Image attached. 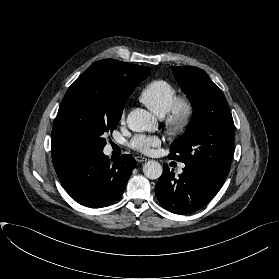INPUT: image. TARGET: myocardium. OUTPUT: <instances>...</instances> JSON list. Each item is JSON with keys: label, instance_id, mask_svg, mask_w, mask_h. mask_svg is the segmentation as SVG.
Wrapping results in <instances>:
<instances>
[{"label": "myocardium", "instance_id": "f54148a6", "mask_svg": "<svg viewBox=\"0 0 279 279\" xmlns=\"http://www.w3.org/2000/svg\"><path fill=\"white\" fill-rule=\"evenodd\" d=\"M194 102L184 96H177L164 117L166 130L173 135L184 133L191 125L195 116Z\"/></svg>", "mask_w": 279, "mask_h": 279}]
</instances>
